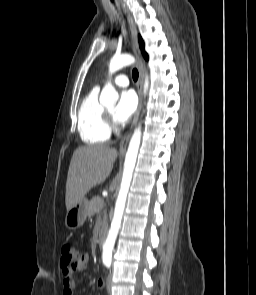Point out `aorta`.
Masks as SVG:
<instances>
[{
	"label": "aorta",
	"instance_id": "1",
	"mask_svg": "<svg viewBox=\"0 0 256 295\" xmlns=\"http://www.w3.org/2000/svg\"><path fill=\"white\" fill-rule=\"evenodd\" d=\"M134 62H135L134 57L129 54L114 56L111 59L109 64V73L113 74L119 69L128 65H131ZM148 86H149V81H148V77H146L144 82V93L147 92ZM118 97H119L118 93L115 90L114 86L111 84V82H108L104 86L100 94V103L105 106L115 105L118 100ZM140 142H141V124H139L135 128L133 135L130 139L127 152H126L123 176H122L119 194L115 204L114 216L111 222V227L109 229L108 236L103 245L102 258L104 262H111L112 260V251H113L115 241L121 226L127 194L130 188L133 171L135 168L137 155H138V151L140 147Z\"/></svg>",
	"mask_w": 256,
	"mask_h": 295
}]
</instances>
